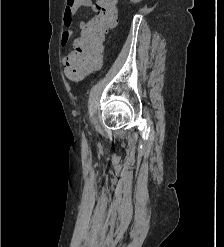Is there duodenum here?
Returning <instances> with one entry per match:
<instances>
[{"instance_id": "duodenum-1", "label": "duodenum", "mask_w": 224, "mask_h": 247, "mask_svg": "<svg viewBox=\"0 0 224 247\" xmlns=\"http://www.w3.org/2000/svg\"><path fill=\"white\" fill-rule=\"evenodd\" d=\"M82 48L86 50V45L83 44V47Z\"/></svg>"}]
</instances>
